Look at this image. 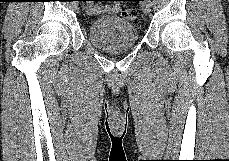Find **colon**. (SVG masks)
<instances>
[{
    "instance_id": "1",
    "label": "colon",
    "mask_w": 229,
    "mask_h": 161,
    "mask_svg": "<svg viewBox=\"0 0 229 161\" xmlns=\"http://www.w3.org/2000/svg\"><path fill=\"white\" fill-rule=\"evenodd\" d=\"M123 17L128 20H134L137 17V10L134 8H126L123 11Z\"/></svg>"
}]
</instances>
